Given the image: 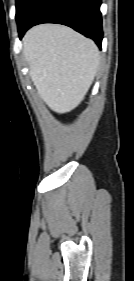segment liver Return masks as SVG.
<instances>
[{
  "label": "liver",
  "mask_w": 134,
  "mask_h": 281,
  "mask_svg": "<svg viewBox=\"0 0 134 281\" xmlns=\"http://www.w3.org/2000/svg\"><path fill=\"white\" fill-rule=\"evenodd\" d=\"M23 53L40 98L59 114L80 104L100 63L91 39L55 24L32 27L23 38Z\"/></svg>",
  "instance_id": "obj_1"
}]
</instances>
